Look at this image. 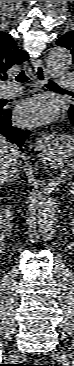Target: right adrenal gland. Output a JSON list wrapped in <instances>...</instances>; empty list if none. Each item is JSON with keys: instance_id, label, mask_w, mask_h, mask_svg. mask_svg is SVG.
I'll list each match as a JSON object with an SVG mask.
<instances>
[{"instance_id": "right-adrenal-gland-1", "label": "right adrenal gland", "mask_w": 74, "mask_h": 366, "mask_svg": "<svg viewBox=\"0 0 74 366\" xmlns=\"http://www.w3.org/2000/svg\"><path fill=\"white\" fill-rule=\"evenodd\" d=\"M19 179L18 174L15 177L9 178L6 182L9 184L10 182L17 181Z\"/></svg>"}]
</instances>
